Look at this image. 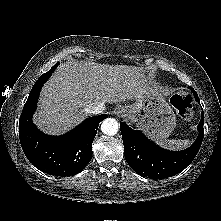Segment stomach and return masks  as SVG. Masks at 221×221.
Wrapping results in <instances>:
<instances>
[{
    "mask_svg": "<svg viewBox=\"0 0 221 221\" xmlns=\"http://www.w3.org/2000/svg\"><path fill=\"white\" fill-rule=\"evenodd\" d=\"M124 117L142 129L150 138L162 141L176 126V116L162 91L150 87L131 105L123 106Z\"/></svg>",
    "mask_w": 221,
    "mask_h": 221,
    "instance_id": "1",
    "label": "stomach"
}]
</instances>
